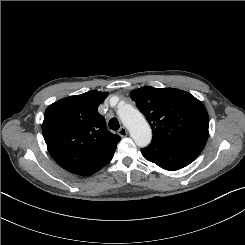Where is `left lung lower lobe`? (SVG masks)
Returning <instances> with one entry per match:
<instances>
[{
	"label": "left lung lower lobe",
	"mask_w": 245,
	"mask_h": 245,
	"mask_svg": "<svg viewBox=\"0 0 245 245\" xmlns=\"http://www.w3.org/2000/svg\"><path fill=\"white\" fill-rule=\"evenodd\" d=\"M144 158L161 168L175 171L193 162L199 154L152 140L150 145L141 149Z\"/></svg>",
	"instance_id": "obj_1"
}]
</instances>
